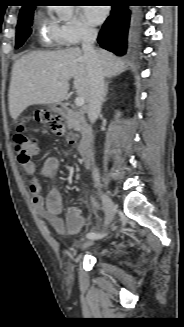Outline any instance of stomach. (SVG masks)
Returning <instances> with one entry per match:
<instances>
[{
	"label": "stomach",
	"mask_w": 184,
	"mask_h": 327,
	"mask_svg": "<svg viewBox=\"0 0 184 327\" xmlns=\"http://www.w3.org/2000/svg\"><path fill=\"white\" fill-rule=\"evenodd\" d=\"M51 108H52L53 110H55V111H57V110H58V108H57V106H56V105H53Z\"/></svg>",
	"instance_id": "stomach-1"
}]
</instances>
